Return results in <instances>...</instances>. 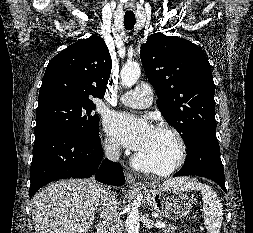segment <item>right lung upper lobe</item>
Masks as SVG:
<instances>
[{"label":"right lung upper lobe","mask_w":253,"mask_h":233,"mask_svg":"<svg viewBox=\"0 0 253 233\" xmlns=\"http://www.w3.org/2000/svg\"><path fill=\"white\" fill-rule=\"evenodd\" d=\"M111 66L108 48L100 36L77 41L49 61L38 103L51 98H103Z\"/></svg>","instance_id":"1"}]
</instances>
